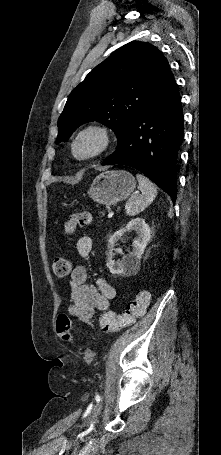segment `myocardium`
I'll list each match as a JSON object with an SVG mask.
<instances>
[{
  "instance_id": "myocardium-1",
  "label": "myocardium",
  "mask_w": 221,
  "mask_h": 455,
  "mask_svg": "<svg viewBox=\"0 0 221 455\" xmlns=\"http://www.w3.org/2000/svg\"><path fill=\"white\" fill-rule=\"evenodd\" d=\"M92 137L96 140L97 144L95 149L86 154V155H79L77 152V148L79 143L85 139ZM111 144V134L109 129L101 124H88L81 128L76 135L74 136L72 143H71V150L73 156L77 160H89L95 158L101 154H103Z\"/></svg>"
}]
</instances>
